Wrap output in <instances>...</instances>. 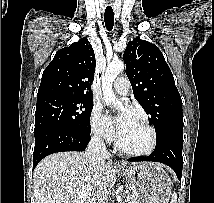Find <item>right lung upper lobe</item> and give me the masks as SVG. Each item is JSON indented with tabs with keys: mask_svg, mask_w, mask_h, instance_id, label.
I'll return each mask as SVG.
<instances>
[{
	"mask_svg": "<svg viewBox=\"0 0 214 203\" xmlns=\"http://www.w3.org/2000/svg\"><path fill=\"white\" fill-rule=\"evenodd\" d=\"M95 64L86 37L60 49L43 72L37 98L56 94L92 97Z\"/></svg>",
	"mask_w": 214,
	"mask_h": 203,
	"instance_id": "cb5924a9",
	"label": "right lung upper lobe"
}]
</instances>
